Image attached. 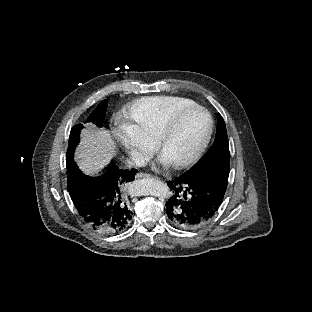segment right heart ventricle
Masks as SVG:
<instances>
[{"instance_id":"e07e8e85","label":"right heart ventricle","mask_w":312,"mask_h":312,"mask_svg":"<svg viewBox=\"0 0 312 312\" xmlns=\"http://www.w3.org/2000/svg\"><path fill=\"white\" fill-rule=\"evenodd\" d=\"M195 98L190 93L170 94L140 93L125 103L129 120L136 125V131L142 142L154 145L159 140V130L167 127L168 123L180 114L192 109Z\"/></svg>"}]
</instances>
